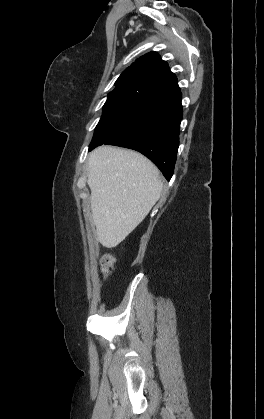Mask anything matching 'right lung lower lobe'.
<instances>
[{
  "instance_id": "right-lung-lower-lobe-1",
  "label": "right lung lower lobe",
  "mask_w": 264,
  "mask_h": 419,
  "mask_svg": "<svg viewBox=\"0 0 264 419\" xmlns=\"http://www.w3.org/2000/svg\"><path fill=\"white\" fill-rule=\"evenodd\" d=\"M181 119L180 91L157 96L144 102L134 117L103 144L139 151L170 180L179 146Z\"/></svg>"
}]
</instances>
